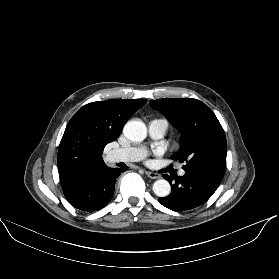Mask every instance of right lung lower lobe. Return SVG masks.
<instances>
[{
    "label": "right lung lower lobe",
    "mask_w": 279,
    "mask_h": 279,
    "mask_svg": "<svg viewBox=\"0 0 279 279\" xmlns=\"http://www.w3.org/2000/svg\"><path fill=\"white\" fill-rule=\"evenodd\" d=\"M123 169L108 168L87 178L63 186L71 205L79 210L93 212L107 204L114 193L116 178Z\"/></svg>",
    "instance_id": "right-lung-lower-lobe-1"
}]
</instances>
